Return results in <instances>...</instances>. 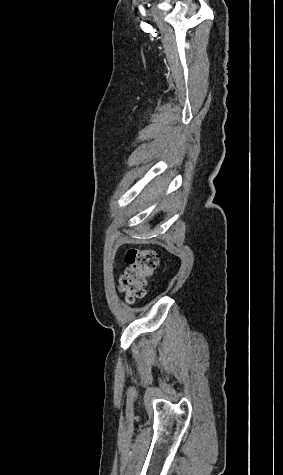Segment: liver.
<instances>
[{
  "mask_svg": "<svg viewBox=\"0 0 283 475\" xmlns=\"http://www.w3.org/2000/svg\"><path fill=\"white\" fill-rule=\"evenodd\" d=\"M157 186H160V184H157ZM164 190L165 188H157V190H155V186H153V188H151L149 192H146L144 200H151V202H155V200H158L159 196H162ZM164 204H161V210H165V208H170L169 204H167V206H164Z\"/></svg>",
  "mask_w": 283,
  "mask_h": 475,
  "instance_id": "liver-1",
  "label": "liver"
}]
</instances>
